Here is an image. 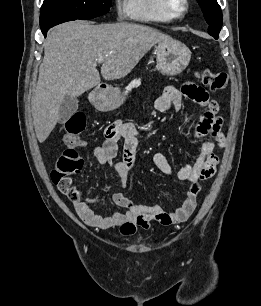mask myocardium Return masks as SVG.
Segmentation results:
<instances>
[{
	"label": "myocardium",
	"instance_id": "f54148a6",
	"mask_svg": "<svg viewBox=\"0 0 261 306\" xmlns=\"http://www.w3.org/2000/svg\"><path fill=\"white\" fill-rule=\"evenodd\" d=\"M163 10L173 19L184 15L190 6L189 0H161Z\"/></svg>",
	"mask_w": 261,
	"mask_h": 306
}]
</instances>
